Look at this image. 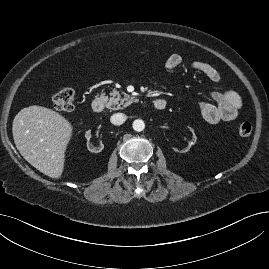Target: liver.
I'll return each mask as SVG.
<instances>
[{
	"instance_id": "obj_1",
	"label": "liver",
	"mask_w": 269,
	"mask_h": 269,
	"mask_svg": "<svg viewBox=\"0 0 269 269\" xmlns=\"http://www.w3.org/2000/svg\"><path fill=\"white\" fill-rule=\"evenodd\" d=\"M12 132L16 148L28 163L51 178L61 177L73 132L64 116L38 105L25 107L15 116Z\"/></svg>"
}]
</instances>
